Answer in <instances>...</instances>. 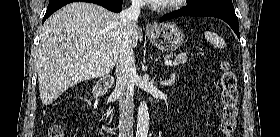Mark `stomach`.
Returning <instances> with one entry per match:
<instances>
[{"instance_id":"1","label":"stomach","mask_w":280,"mask_h":137,"mask_svg":"<svg viewBox=\"0 0 280 137\" xmlns=\"http://www.w3.org/2000/svg\"><path fill=\"white\" fill-rule=\"evenodd\" d=\"M146 33L154 46L165 52L176 50L184 40L180 28L171 22L155 24Z\"/></svg>"}]
</instances>
